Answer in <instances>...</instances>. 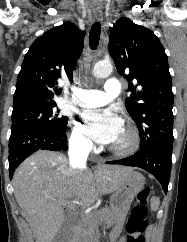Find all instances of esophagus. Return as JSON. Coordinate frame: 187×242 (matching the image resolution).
Wrapping results in <instances>:
<instances>
[{
    "mask_svg": "<svg viewBox=\"0 0 187 242\" xmlns=\"http://www.w3.org/2000/svg\"><path fill=\"white\" fill-rule=\"evenodd\" d=\"M96 16L98 17L99 20H102V13H97Z\"/></svg>",
    "mask_w": 187,
    "mask_h": 242,
    "instance_id": "34e87169",
    "label": "esophagus"
}]
</instances>
